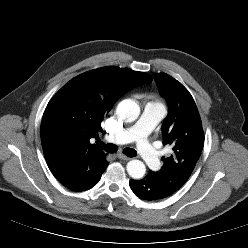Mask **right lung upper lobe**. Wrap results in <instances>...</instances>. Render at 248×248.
I'll return each instance as SVG.
<instances>
[{
  "mask_svg": "<svg viewBox=\"0 0 248 248\" xmlns=\"http://www.w3.org/2000/svg\"><path fill=\"white\" fill-rule=\"evenodd\" d=\"M151 81L144 72L102 67L73 78L50 100L42 118L41 143L60 183L73 188L106 165V154L90 139L98 137L104 116L123 94Z\"/></svg>",
  "mask_w": 248,
  "mask_h": 248,
  "instance_id": "cb5924a9",
  "label": "right lung upper lobe"
}]
</instances>
